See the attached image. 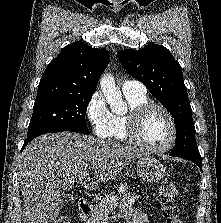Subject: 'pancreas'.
I'll use <instances>...</instances> for the list:
<instances>
[{
    "label": "pancreas",
    "mask_w": 221,
    "mask_h": 223,
    "mask_svg": "<svg viewBox=\"0 0 221 223\" xmlns=\"http://www.w3.org/2000/svg\"><path fill=\"white\" fill-rule=\"evenodd\" d=\"M124 190L121 193L119 199V208H126L132 206L135 201L139 198L138 195L130 192L127 184L122 185ZM111 200L110 196H105L94 208L92 211L91 217L88 220V223H108L109 215L115 209L116 201Z\"/></svg>",
    "instance_id": "cf45deb5"
}]
</instances>
